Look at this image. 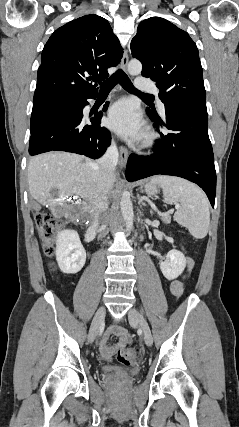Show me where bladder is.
Masks as SVG:
<instances>
[{
    "mask_svg": "<svg viewBox=\"0 0 239 427\" xmlns=\"http://www.w3.org/2000/svg\"><path fill=\"white\" fill-rule=\"evenodd\" d=\"M104 372L107 374H112L115 376H135L137 372L135 371H124L116 368H105Z\"/></svg>",
    "mask_w": 239,
    "mask_h": 427,
    "instance_id": "obj_1",
    "label": "bladder"
}]
</instances>
